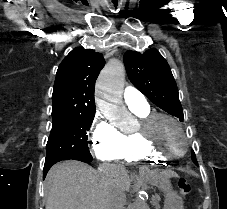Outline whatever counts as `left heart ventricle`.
Here are the masks:
<instances>
[{
    "mask_svg": "<svg viewBox=\"0 0 227 209\" xmlns=\"http://www.w3.org/2000/svg\"><path fill=\"white\" fill-rule=\"evenodd\" d=\"M153 143L164 153H179L185 147V137L174 123L167 119H159L149 131Z\"/></svg>",
    "mask_w": 227,
    "mask_h": 209,
    "instance_id": "1",
    "label": "left heart ventricle"
}]
</instances>
